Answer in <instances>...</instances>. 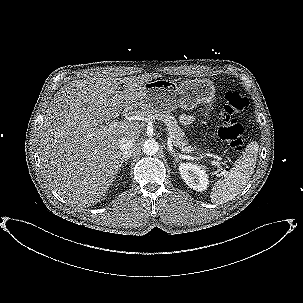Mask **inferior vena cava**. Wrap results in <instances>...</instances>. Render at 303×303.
Listing matches in <instances>:
<instances>
[{"label": "inferior vena cava", "mask_w": 303, "mask_h": 303, "mask_svg": "<svg viewBox=\"0 0 303 303\" xmlns=\"http://www.w3.org/2000/svg\"><path fill=\"white\" fill-rule=\"evenodd\" d=\"M120 150L124 156L131 154L135 147V140L124 137L119 142Z\"/></svg>", "instance_id": "602c4592"}]
</instances>
